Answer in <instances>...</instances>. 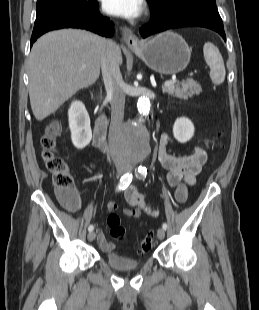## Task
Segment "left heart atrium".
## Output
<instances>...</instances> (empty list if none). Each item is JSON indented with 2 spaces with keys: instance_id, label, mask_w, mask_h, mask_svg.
I'll return each instance as SVG.
<instances>
[{
  "instance_id": "obj_1",
  "label": "left heart atrium",
  "mask_w": 259,
  "mask_h": 310,
  "mask_svg": "<svg viewBox=\"0 0 259 310\" xmlns=\"http://www.w3.org/2000/svg\"><path fill=\"white\" fill-rule=\"evenodd\" d=\"M103 9L111 15L133 19L142 13L141 0H104Z\"/></svg>"
}]
</instances>
